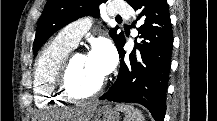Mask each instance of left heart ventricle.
<instances>
[{
	"label": "left heart ventricle",
	"instance_id": "obj_1",
	"mask_svg": "<svg viewBox=\"0 0 217 121\" xmlns=\"http://www.w3.org/2000/svg\"><path fill=\"white\" fill-rule=\"evenodd\" d=\"M103 78L87 56H76L69 74V84L74 93L92 92Z\"/></svg>",
	"mask_w": 217,
	"mask_h": 121
}]
</instances>
